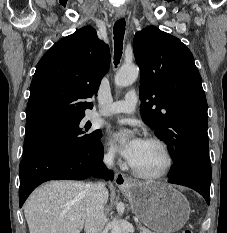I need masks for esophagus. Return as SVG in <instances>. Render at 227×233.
I'll return each instance as SVG.
<instances>
[{
	"instance_id": "34e87169",
	"label": "esophagus",
	"mask_w": 227,
	"mask_h": 233,
	"mask_svg": "<svg viewBox=\"0 0 227 233\" xmlns=\"http://www.w3.org/2000/svg\"><path fill=\"white\" fill-rule=\"evenodd\" d=\"M125 16V10L124 9H117L116 10V17L117 18H123ZM115 184L118 187H127L131 184L130 180L127 179V177L123 174L118 172L115 175Z\"/></svg>"
}]
</instances>
